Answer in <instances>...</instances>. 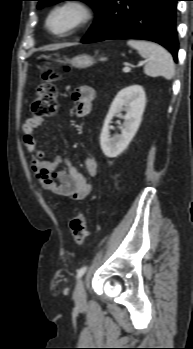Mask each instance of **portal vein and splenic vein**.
Segmentation results:
<instances>
[{
  "label": "portal vein and splenic vein",
  "mask_w": 193,
  "mask_h": 349,
  "mask_svg": "<svg viewBox=\"0 0 193 349\" xmlns=\"http://www.w3.org/2000/svg\"><path fill=\"white\" fill-rule=\"evenodd\" d=\"M145 63V61H142V62H140L139 63V65H142V64H144ZM130 70H131V68L129 67V66H125L124 68H123V72H130Z\"/></svg>",
  "instance_id": "portal-vein-and-splenic-vein-1"
}]
</instances>
